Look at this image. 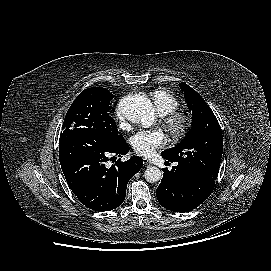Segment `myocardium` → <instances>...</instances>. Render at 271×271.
Masks as SVG:
<instances>
[{
    "instance_id": "1",
    "label": "myocardium",
    "mask_w": 271,
    "mask_h": 271,
    "mask_svg": "<svg viewBox=\"0 0 271 271\" xmlns=\"http://www.w3.org/2000/svg\"><path fill=\"white\" fill-rule=\"evenodd\" d=\"M166 126L175 139L186 137L193 127L192 119L181 113L169 114L165 118Z\"/></svg>"
}]
</instances>
